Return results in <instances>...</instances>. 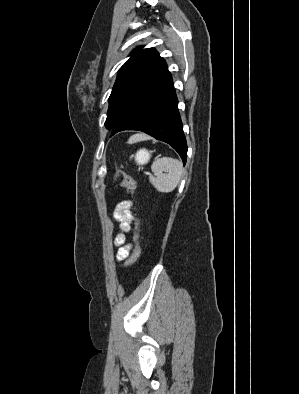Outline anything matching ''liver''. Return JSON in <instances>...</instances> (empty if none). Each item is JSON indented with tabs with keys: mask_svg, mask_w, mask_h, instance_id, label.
Here are the masks:
<instances>
[{
	"mask_svg": "<svg viewBox=\"0 0 299 394\" xmlns=\"http://www.w3.org/2000/svg\"><path fill=\"white\" fill-rule=\"evenodd\" d=\"M143 138H146V136L143 135V134L134 135L133 137H131L129 139V143H134V142H136V141H138L140 139H143Z\"/></svg>",
	"mask_w": 299,
	"mask_h": 394,
	"instance_id": "6515ba94",
	"label": "liver"
}]
</instances>
